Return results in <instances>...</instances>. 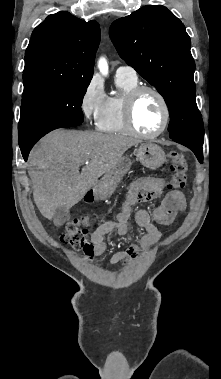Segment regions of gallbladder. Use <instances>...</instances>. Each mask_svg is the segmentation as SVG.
Returning <instances> with one entry per match:
<instances>
[{
  "instance_id": "gallbladder-1",
  "label": "gallbladder",
  "mask_w": 221,
  "mask_h": 379,
  "mask_svg": "<svg viewBox=\"0 0 221 379\" xmlns=\"http://www.w3.org/2000/svg\"><path fill=\"white\" fill-rule=\"evenodd\" d=\"M69 216V209L66 207L59 206L55 210L54 216H53V222L55 225H62L65 223Z\"/></svg>"
}]
</instances>
